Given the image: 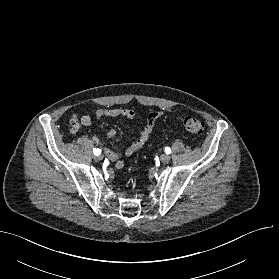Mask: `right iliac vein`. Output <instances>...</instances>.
<instances>
[{
	"instance_id": "right-iliac-vein-1",
	"label": "right iliac vein",
	"mask_w": 279,
	"mask_h": 279,
	"mask_svg": "<svg viewBox=\"0 0 279 279\" xmlns=\"http://www.w3.org/2000/svg\"><path fill=\"white\" fill-rule=\"evenodd\" d=\"M94 159L96 161H101L103 159V156L102 155H97V156L94 157Z\"/></svg>"
}]
</instances>
